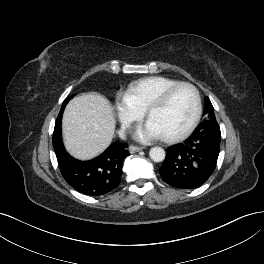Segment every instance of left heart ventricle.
<instances>
[{
	"mask_svg": "<svg viewBox=\"0 0 264 264\" xmlns=\"http://www.w3.org/2000/svg\"><path fill=\"white\" fill-rule=\"evenodd\" d=\"M196 104L192 90L188 87L177 89L166 105L155 110L150 121L162 137L176 135L185 130L193 119Z\"/></svg>",
	"mask_w": 264,
	"mask_h": 264,
	"instance_id": "obj_1",
	"label": "left heart ventricle"
}]
</instances>
